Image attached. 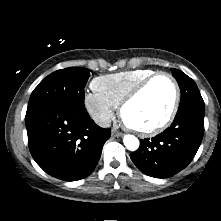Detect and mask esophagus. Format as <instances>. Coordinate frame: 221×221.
<instances>
[{"mask_svg":"<svg viewBox=\"0 0 221 221\" xmlns=\"http://www.w3.org/2000/svg\"><path fill=\"white\" fill-rule=\"evenodd\" d=\"M112 135H113L114 137H120V136L123 135V133L117 131L116 129H113V130H112Z\"/></svg>","mask_w":221,"mask_h":221,"instance_id":"1","label":"esophagus"}]
</instances>
